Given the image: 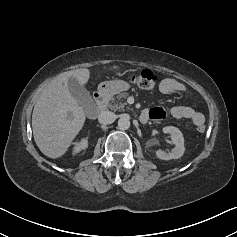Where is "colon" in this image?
Here are the masks:
<instances>
[{"label":"colon","mask_w":237,"mask_h":237,"mask_svg":"<svg viewBox=\"0 0 237 237\" xmlns=\"http://www.w3.org/2000/svg\"><path fill=\"white\" fill-rule=\"evenodd\" d=\"M131 80L132 82L136 83L139 87L149 90L153 89L157 85L159 78L151 70L144 69L139 74L132 75ZM198 131L203 132L204 127L203 126L199 127Z\"/></svg>","instance_id":"obj_1"}]
</instances>
